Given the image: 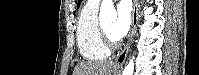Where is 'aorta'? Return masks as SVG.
Listing matches in <instances>:
<instances>
[{
	"instance_id": "aorta-1",
	"label": "aorta",
	"mask_w": 199,
	"mask_h": 75,
	"mask_svg": "<svg viewBox=\"0 0 199 75\" xmlns=\"http://www.w3.org/2000/svg\"><path fill=\"white\" fill-rule=\"evenodd\" d=\"M117 17V12L114 8L112 0H102L99 20L102 22L105 19L109 18L115 20ZM134 72V61L133 58L130 59L129 63L125 66L123 75H133Z\"/></svg>"
}]
</instances>
